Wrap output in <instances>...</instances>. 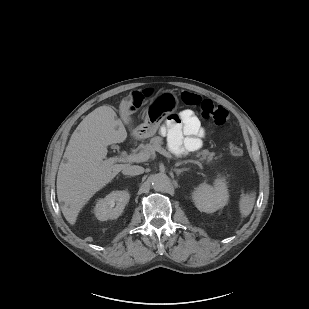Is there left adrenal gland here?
I'll use <instances>...</instances> for the list:
<instances>
[{"label":"left adrenal gland","mask_w":309,"mask_h":309,"mask_svg":"<svg viewBox=\"0 0 309 309\" xmlns=\"http://www.w3.org/2000/svg\"><path fill=\"white\" fill-rule=\"evenodd\" d=\"M173 170L174 172H176L177 176H179L182 172L188 171L189 169L188 168H182V169L174 168Z\"/></svg>","instance_id":"obj_1"}]
</instances>
